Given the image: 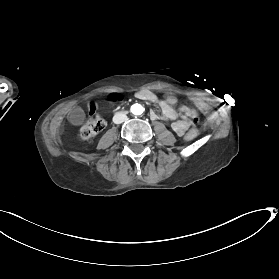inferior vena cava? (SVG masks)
Here are the masks:
<instances>
[{
  "label": "inferior vena cava",
  "instance_id": "inferior-vena-cava-1",
  "mask_svg": "<svg viewBox=\"0 0 279 279\" xmlns=\"http://www.w3.org/2000/svg\"><path fill=\"white\" fill-rule=\"evenodd\" d=\"M128 112H120L116 113V115L113 117V122L116 124H120L122 122L128 121L129 118H127L126 114Z\"/></svg>",
  "mask_w": 279,
  "mask_h": 279
}]
</instances>
